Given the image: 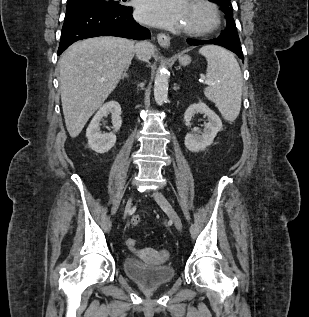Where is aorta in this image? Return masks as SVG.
Here are the masks:
<instances>
[{
	"instance_id": "1",
	"label": "aorta",
	"mask_w": 309,
	"mask_h": 317,
	"mask_svg": "<svg viewBox=\"0 0 309 317\" xmlns=\"http://www.w3.org/2000/svg\"><path fill=\"white\" fill-rule=\"evenodd\" d=\"M168 70L164 64L157 70L154 81V98L158 105H162L168 97Z\"/></svg>"
}]
</instances>
